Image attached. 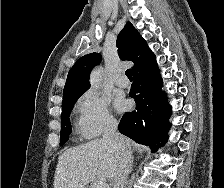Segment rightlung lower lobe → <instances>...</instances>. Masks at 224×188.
I'll return each mask as SVG.
<instances>
[{
	"label": "right lung lower lobe",
	"mask_w": 224,
	"mask_h": 188,
	"mask_svg": "<svg viewBox=\"0 0 224 188\" xmlns=\"http://www.w3.org/2000/svg\"><path fill=\"white\" fill-rule=\"evenodd\" d=\"M133 78L129 96L135 99L136 108L123 115L118 128L134 141L156 149L168 140L171 127L168 119L172 112L161 91L162 79L156 61L134 73Z\"/></svg>",
	"instance_id": "right-lung-lower-lobe-1"
}]
</instances>
